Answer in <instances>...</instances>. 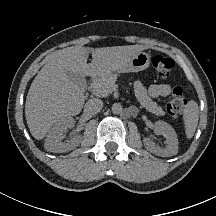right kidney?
<instances>
[{
	"label": "right kidney",
	"instance_id": "right-kidney-1",
	"mask_svg": "<svg viewBox=\"0 0 216 216\" xmlns=\"http://www.w3.org/2000/svg\"><path fill=\"white\" fill-rule=\"evenodd\" d=\"M73 126L74 119L72 117L62 118L57 123H55L45 139V149L53 153H64L78 147L82 139L80 135H75L67 142L61 141L64 138L63 132H65L68 128H72Z\"/></svg>",
	"mask_w": 216,
	"mask_h": 216
}]
</instances>
